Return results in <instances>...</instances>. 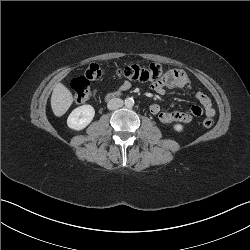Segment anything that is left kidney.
<instances>
[{"label":"left kidney","instance_id":"obj_1","mask_svg":"<svg viewBox=\"0 0 250 250\" xmlns=\"http://www.w3.org/2000/svg\"><path fill=\"white\" fill-rule=\"evenodd\" d=\"M173 128H174V130L177 131V132H182L184 127H183V125H181V124H175V125L173 126Z\"/></svg>","mask_w":250,"mask_h":250}]
</instances>
